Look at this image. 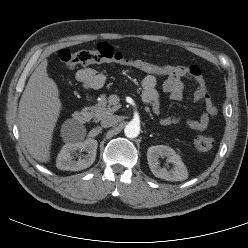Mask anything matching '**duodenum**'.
<instances>
[{
	"label": "duodenum",
	"instance_id": "410a0bca",
	"mask_svg": "<svg viewBox=\"0 0 248 248\" xmlns=\"http://www.w3.org/2000/svg\"><path fill=\"white\" fill-rule=\"evenodd\" d=\"M73 120L78 124H85L90 120V112L80 110L73 114Z\"/></svg>",
	"mask_w": 248,
	"mask_h": 248
}]
</instances>
